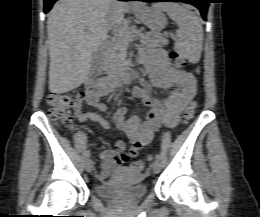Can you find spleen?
<instances>
[{
  "instance_id": "3e777b00",
  "label": "spleen",
  "mask_w": 260,
  "mask_h": 217,
  "mask_svg": "<svg viewBox=\"0 0 260 217\" xmlns=\"http://www.w3.org/2000/svg\"><path fill=\"white\" fill-rule=\"evenodd\" d=\"M164 11L178 25L175 47L186 57H199L202 50L203 27L199 17L176 3L154 5Z\"/></svg>"
}]
</instances>
